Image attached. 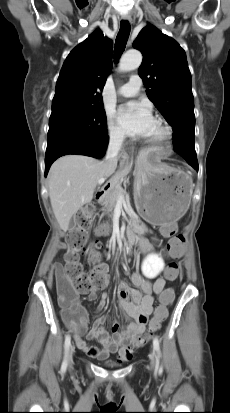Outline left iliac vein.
<instances>
[{
    "mask_svg": "<svg viewBox=\"0 0 230 413\" xmlns=\"http://www.w3.org/2000/svg\"><path fill=\"white\" fill-rule=\"evenodd\" d=\"M149 357H150V368L153 369L157 365L156 354L153 349L151 350Z\"/></svg>",
    "mask_w": 230,
    "mask_h": 413,
    "instance_id": "1",
    "label": "left iliac vein"
}]
</instances>
